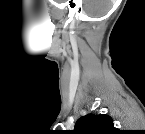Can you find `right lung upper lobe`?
<instances>
[{"label": "right lung upper lobe", "instance_id": "obj_1", "mask_svg": "<svg viewBox=\"0 0 145 134\" xmlns=\"http://www.w3.org/2000/svg\"><path fill=\"white\" fill-rule=\"evenodd\" d=\"M113 119L106 114H87L80 117L74 128V134H116Z\"/></svg>", "mask_w": 145, "mask_h": 134}]
</instances>
